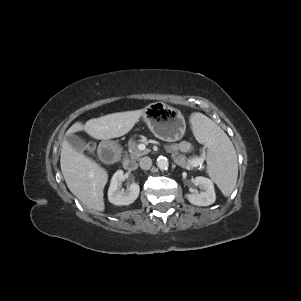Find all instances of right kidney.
<instances>
[{"instance_id": "obj_1", "label": "right kidney", "mask_w": 301, "mask_h": 301, "mask_svg": "<svg viewBox=\"0 0 301 301\" xmlns=\"http://www.w3.org/2000/svg\"><path fill=\"white\" fill-rule=\"evenodd\" d=\"M124 180L125 175L122 170L116 171L111 179L108 190V200L116 206L132 204L140 193V187L137 183H132L126 191L121 190L120 187Z\"/></svg>"}]
</instances>
